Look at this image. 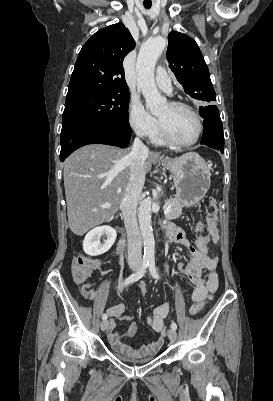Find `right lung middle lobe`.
<instances>
[{
    "label": "right lung middle lobe",
    "instance_id": "right-lung-middle-lobe-1",
    "mask_svg": "<svg viewBox=\"0 0 273 401\" xmlns=\"http://www.w3.org/2000/svg\"><path fill=\"white\" fill-rule=\"evenodd\" d=\"M128 93L91 91L66 97L62 126L86 121L102 125L130 128Z\"/></svg>",
    "mask_w": 273,
    "mask_h": 401
}]
</instances>
